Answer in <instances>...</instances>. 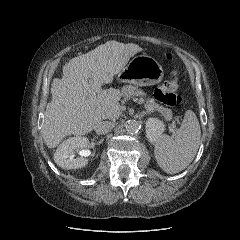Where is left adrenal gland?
<instances>
[{
  "label": "left adrenal gland",
  "instance_id": "left-adrenal-gland-1",
  "mask_svg": "<svg viewBox=\"0 0 240 240\" xmlns=\"http://www.w3.org/2000/svg\"><path fill=\"white\" fill-rule=\"evenodd\" d=\"M150 113V111H143L140 113V118H143L145 114Z\"/></svg>",
  "mask_w": 240,
  "mask_h": 240
}]
</instances>
